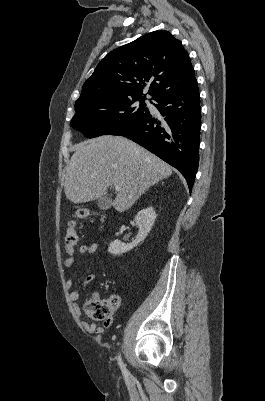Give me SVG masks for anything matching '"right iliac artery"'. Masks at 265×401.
Instances as JSON below:
<instances>
[{
  "label": "right iliac artery",
  "mask_w": 265,
  "mask_h": 401,
  "mask_svg": "<svg viewBox=\"0 0 265 401\" xmlns=\"http://www.w3.org/2000/svg\"><path fill=\"white\" fill-rule=\"evenodd\" d=\"M118 364H119V366H120V368H121V370H122V373H123L124 375H128V374H129V371L126 369V365L123 363L120 354L118 355Z\"/></svg>",
  "instance_id": "right-iliac-artery-1"
}]
</instances>
